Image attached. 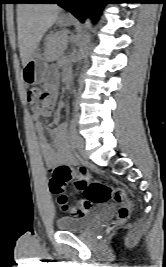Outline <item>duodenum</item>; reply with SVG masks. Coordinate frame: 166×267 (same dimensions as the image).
<instances>
[{
	"mask_svg": "<svg viewBox=\"0 0 166 267\" xmlns=\"http://www.w3.org/2000/svg\"><path fill=\"white\" fill-rule=\"evenodd\" d=\"M64 80L65 82L68 84L71 80L70 74L68 72H66L65 76H64Z\"/></svg>",
	"mask_w": 166,
	"mask_h": 267,
	"instance_id": "410a0bca",
	"label": "duodenum"
}]
</instances>
